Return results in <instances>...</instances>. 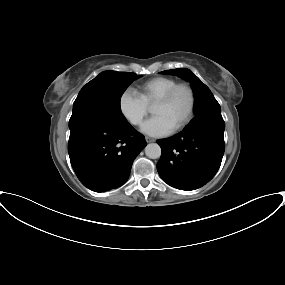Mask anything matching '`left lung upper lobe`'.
I'll list each match as a JSON object with an SVG mask.
<instances>
[{"instance_id": "5c2ea615", "label": "left lung upper lobe", "mask_w": 285, "mask_h": 285, "mask_svg": "<svg viewBox=\"0 0 285 285\" xmlns=\"http://www.w3.org/2000/svg\"><path fill=\"white\" fill-rule=\"evenodd\" d=\"M161 73L177 75L190 82L195 95L194 112L196 115L188 126L205 118H222L220 105L210 89L189 69L180 68L166 70Z\"/></svg>"}]
</instances>
